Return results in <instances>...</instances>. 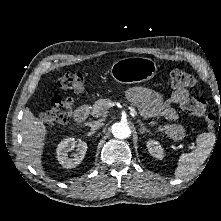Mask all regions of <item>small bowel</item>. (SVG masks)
Segmentation results:
<instances>
[{"label":"small bowel","mask_w":221,"mask_h":221,"mask_svg":"<svg viewBox=\"0 0 221 221\" xmlns=\"http://www.w3.org/2000/svg\"><path fill=\"white\" fill-rule=\"evenodd\" d=\"M126 95L145 115L163 116L170 121L178 118L172 105H182L189 98V92L186 89H176L169 98L163 100L154 90L140 86L128 89Z\"/></svg>","instance_id":"obj_1"}]
</instances>
